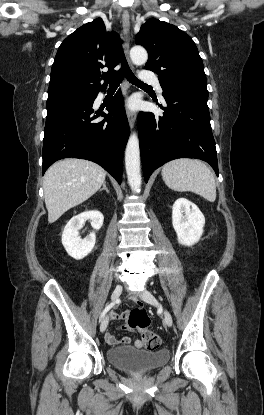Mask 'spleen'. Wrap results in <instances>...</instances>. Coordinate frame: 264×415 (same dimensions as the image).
<instances>
[{"label": "spleen", "instance_id": "obj_1", "mask_svg": "<svg viewBox=\"0 0 264 415\" xmlns=\"http://www.w3.org/2000/svg\"><path fill=\"white\" fill-rule=\"evenodd\" d=\"M165 184L175 191H191L210 202L216 199V184L206 164L195 159H176L162 168Z\"/></svg>", "mask_w": 264, "mask_h": 415}]
</instances>
